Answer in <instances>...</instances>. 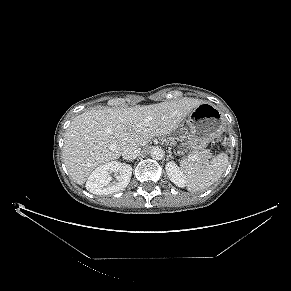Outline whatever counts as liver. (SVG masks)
<instances>
[{
    "label": "liver",
    "mask_w": 291,
    "mask_h": 291,
    "mask_svg": "<svg viewBox=\"0 0 291 291\" xmlns=\"http://www.w3.org/2000/svg\"><path fill=\"white\" fill-rule=\"evenodd\" d=\"M204 101L181 98L124 109H92L76 116L64 135L63 160L72 180L83 185L98 166L118 159L125 145L148 146L175 131Z\"/></svg>",
    "instance_id": "obj_1"
}]
</instances>
